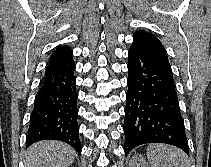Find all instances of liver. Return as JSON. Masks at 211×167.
<instances>
[{
  "instance_id": "obj_1",
  "label": "liver",
  "mask_w": 211,
  "mask_h": 167,
  "mask_svg": "<svg viewBox=\"0 0 211 167\" xmlns=\"http://www.w3.org/2000/svg\"><path fill=\"white\" fill-rule=\"evenodd\" d=\"M76 151L59 141H41L31 145L24 160L25 167H69Z\"/></svg>"
}]
</instances>
